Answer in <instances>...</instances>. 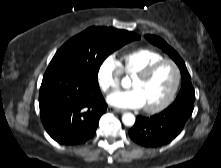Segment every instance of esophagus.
<instances>
[{
	"label": "esophagus",
	"instance_id": "obj_1",
	"mask_svg": "<svg viewBox=\"0 0 221 168\" xmlns=\"http://www.w3.org/2000/svg\"><path fill=\"white\" fill-rule=\"evenodd\" d=\"M108 111L114 112V113H122L123 111L114 107H109Z\"/></svg>",
	"mask_w": 221,
	"mask_h": 168
}]
</instances>
